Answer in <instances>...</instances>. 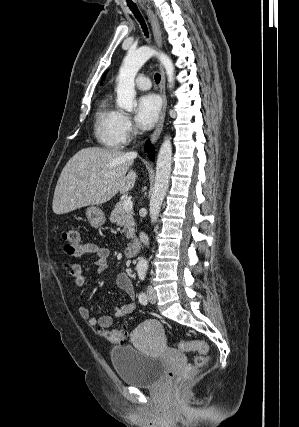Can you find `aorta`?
<instances>
[{"mask_svg":"<svg viewBox=\"0 0 299 427\" xmlns=\"http://www.w3.org/2000/svg\"><path fill=\"white\" fill-rule=\"evenodd\" d=\"M152 56H157L159 58L161 64L165 68L169 87L172 88L174 83V66L171 59L166 54L159 53L147 46L140 47L135 51L130 50L123 60L117 77L116 102L120 108L131 112L136 106L134 80L139 69ZM171 165L172 145L170 137H166L160 147L157 157L155 183L150 199L151 223L157 222L162 203L166 196L170 182ZM147 265V261L145 259H141L137 264V268L146 269Z\"/></svg>","mask_w":299,"mask_h":427,"instance_id":"obj_1","label":"aorta"}]
</instances>
